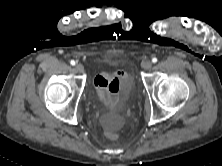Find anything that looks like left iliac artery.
<instances>
[{"label":"left iliac artery","mask_w":222,"mask_h":166,"mask_svg":"<svg viewBox=\"0 0 222 166\" xmlns=\"http://www.w3.org/2000/svg\"><path fill=\"white\" fill-rule=\"evenodd\" d=\"M152 62H153V63H156V62H157V58L154 57V58L152 59Z\"/></svg>","instance_id":"1"}]
</instances>
